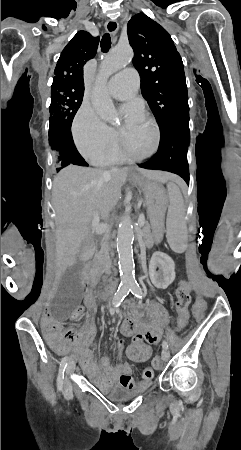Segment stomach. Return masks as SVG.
<instances>
[{"instance_id":"obj_1","label":"stomach","mask_w":241,"mask_h":450,"mask_svg":"<svg viewBox=\"0 0 241 450\" xmlns=\"http://www.w3.org/2000/svg\"><path fill=\"white\" fill-rule=\"evenodd\" d=\"M142 188L147 206V214L156 242H160L164 232V219L167 206V196L162 185L156 181L141 176H134Z\"/></svg>"}]
</instances>
